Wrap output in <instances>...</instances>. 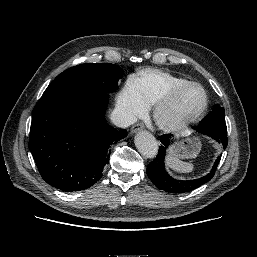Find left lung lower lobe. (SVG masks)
<instances>
[{
	"label": "left lung lower lobe",
	"instance_id": "obj_1",
	"mask_svg": "<svg viewBox=\"0 0 257 257\" xmlns=\"http://www.w3.org/2000/svg\"><path fill=\"white\" fill-rule=\"evenodd\" d=\"M194 130L198 133L205 134L210 138L214 139L220 145L222 150L227 147V130H214L210 128H204L199 125L198 127H195ZM172 137L173 135L170 134H164L160 137L162 144L159 146L158 155L149 165H147V175L151 179L153 184L161 190L177 194L190 192L212 179L220 162V156L217 157L211 171L207 175L199 179L187 181L176 180L166 172L164 166V158L166 149L172 141Z\"/></svg>",
	"mask_w": 257,
	"mask_h": 257
}]
</instances>
